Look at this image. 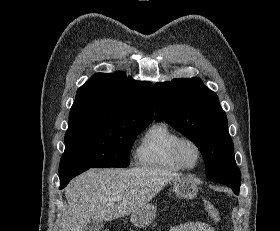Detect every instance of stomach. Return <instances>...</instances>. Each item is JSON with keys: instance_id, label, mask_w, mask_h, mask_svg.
Returning <instances> with one entry per match:
<instances>
[{"instance_id": "1", "label": "stomach", "mask_w": 280, "mask_h": 231, "mask_svg": "<svg viewBox=\"0 0 280 231\" xmlns=\"http://www.w3.org/2000/svg\"><path fill=\"white\" fill-rule=\"evenodd\" d=\"M198 179L191 175H179L171 179V185L174 193L180 199H193L198 193ZM156 215V207L152 203H146L145 207H141L138 211L131 213V221L137 227H147L152 223Z\"/></svg>"}]
</instances>
